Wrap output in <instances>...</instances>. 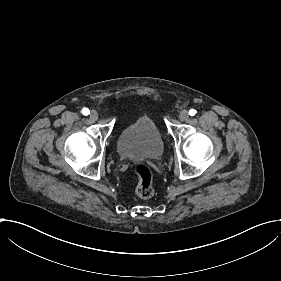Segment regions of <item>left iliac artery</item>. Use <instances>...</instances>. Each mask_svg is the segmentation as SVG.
<instances>
[{
    "label": "left iliac artery",
    "instance_id": "left-iliac-artery-1",
    "mask_svg": "<svg viewBox=\"0 0 281 281\" xmlns=\"http://www.w3.org/2000/svg\"><path fill=\"white\" fill-rule=\"evenodd\" d=\"M196 113H197V111H196L195 109H191V110L189 111V115H190V116H194Z\"/></svg>",
    "mask_w": 281,
    "mask_h": 281
}]
</instances>
